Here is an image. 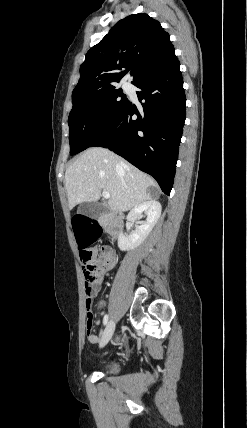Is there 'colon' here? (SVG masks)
<instances>
[{
	"label": "colon",
	"instance_id": "5ec220e1",
	"mask_svg": "<svg viewBox=\"0 0 247 428\" xmlns=\"http://www.w3.org/2000/svg\"><path fill=\"white\" fill-rule=\"evenodd\" d=\"M71 220L76 235L77 243L75 248L77 251H81L82 270L86 284V293L88 294L91 286L101 279L106 263L102 256L95 258L93 252L89 250L90 244L97 243V239L101 236L102 230L100 226L93 221V217H88L87 212H72ZM90 305L91 302L88 300L86 304L88 308L86 328L88 335L92 336L93 314L89 310Z\"/></svg>",
	"mask_w": 247,
	"mask_h": 428
}]
</instances>
